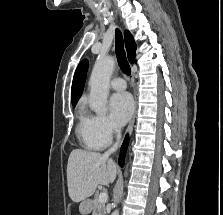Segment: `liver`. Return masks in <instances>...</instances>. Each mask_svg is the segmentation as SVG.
<instances>
[{
	"mask_svg": "<svg viewBox=\"0 0 223 215\" xmlns=\"http://www.w3.org/2000/svg\"><path fill=\"white\" fill-rule=\"evenodd\" d=\"M117 165L97 151L73 149L67 165L68 193L72 201L93 195L98 183L108 185L116 177Z\"/></svg>",
	"mask_w": 223,
	"mask_h": 215,
	"instance_id": "obj_1",
	"label": "liver"
}]
</instances>
